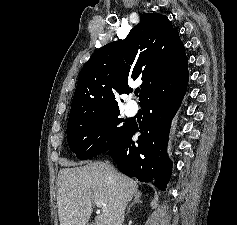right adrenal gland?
<instances>
[{"label": "right adrenal gland", "mask_w": 237, "mask_h": 225, "mask_svg": "<svg viewBox=\"0 0 237 225\" xmlns=\"http://www.w3.org/2000/svg\"><path fill=\"white\" fill-rule=\"evenodd\" d=\"M141 195H142V194H141L140 192H138L137 194H135L134 199H133V202H132V203L128 206V208H127V214H129L130 209H131L132 206H134L135 204H138V203H142V201L140 200Z\"/></svg>", "instance_id": "obj_1"}]
</instances>
